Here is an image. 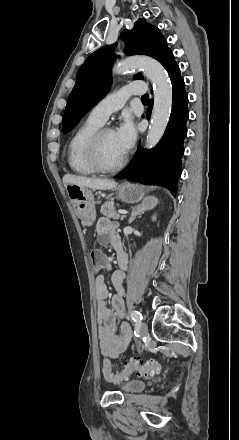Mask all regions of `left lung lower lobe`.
<instances>
[{
  "label": "left lung lower lobe",
  "instance_id": "0a47b994",
  "mask_svg": "<svg viewBox=\"0 0 239 440\" xmlns=\"http://www.w3.org/2000/svg\"><path fill=\"white\" fill-rule=\"evenodd\" d=\"M169 73L173 87L172 111L165 133L152 150H138L130 166L116 176L134 180L155 181L168 185L176 195L177 179L181 173V156L184 153L183 140L187 135L186 121L189 117L188 96L185 83L172 51L161 63ZM153 100L151 99L147 118H150Z\"/></svg>",
  "mask_w": 239,
  "mask_h": 440
}]
</instances>
